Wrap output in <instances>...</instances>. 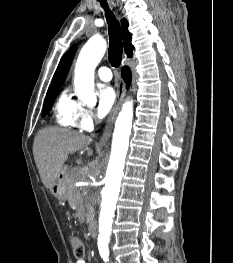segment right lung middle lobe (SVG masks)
<instances>
[{
    "mask_svg": "<svg viewBox=\"0 0 233 263\" xmlns=\"http://www.w3.org/2000/svg\"><path fill=\"white\" fill-rule=\"evenodd\" d=\"M59 88L60 87L48 89L47 97L45 98L43 106V116H45L48 113L49 109L52 107L54 100L58 94Z\"/></svg>",
    "mask_w": 233,
    "mask_h": 263,
    "instance_id": "right-lung-middle-lobe-1",
    "label": "right lung middle lobe"
}]
</instances>
